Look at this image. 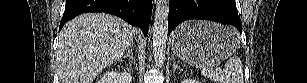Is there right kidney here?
Masks as SVG:
<instances>
[{
  "mask_svg": "<svg viewBox=\"0 0 307 83\" xmlns=\"http://www.w3.org/2000/svg\"><path fill=\"white\" fill-rule=\"evenodd\" d=\"M132 75L129 72L108 71L101 76L99 83H131Z\"/></svg>",
  "mask_w": 307,
  "mask_h": 83,
  "instance_id": "1",
  "label": "right kidney"
}]
</instances>
